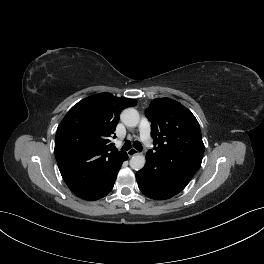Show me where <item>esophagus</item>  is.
<instances>
[{
  "instance_id": "esophagus-1",
  "label": "esophagus",
  "mask_w": 264,
  "mask_h": 264,
  "mask_svg": "<svg viewBox=\"0 0 264 264\" xmlns=\"http://www.w3.org/2000/svg\"><path fill=\"white\" fill-rule=\"evenodd\" d=\"M127 154H128L129 157H132V156H134V155L139 154V152H138L135 148H131V149H129V150L127 151Z\"/></svg>"
}]
</instances>
